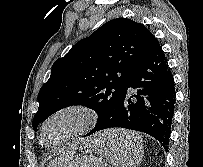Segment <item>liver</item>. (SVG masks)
Returning a JSON list of instances; mask_svg holds the SVG:
<instances>
[{
	"instance_id": "1",
	"label": "liver",
	"mask_w": 203,
	"mask_h": 167,
	"mask_svg": "<svg viewBox=\"0 0 203 167\" xmlns=\"http://www.w3.org/2000/svg\"><path fill=\"white\" fill-rule=\"evenodd\" d=\"M107 137H102L101 141H113L118 140L121 143H124L123 145L125 147L131 148L136 143L137 137L140 135L138 133L132 132V131H126V130H111L108 131ZM99 144V141H98ZM71 156L69 155H62L55 160H53L48 167H68V164L70 163Z\"/></svg>"
}]
</instances>
